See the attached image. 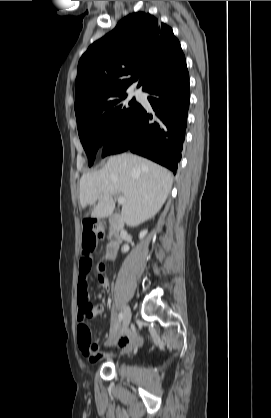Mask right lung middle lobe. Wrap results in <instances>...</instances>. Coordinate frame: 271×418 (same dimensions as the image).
I'll list each match as a JSON object with an SVG mask.
<instances>
[{"instance_id": "obj_1", "label": "right lung middle lobe", "mask_w": 271, "mask_h": 418, "mask_svg": "<svg viewBox=\"0 0 271 418\" xmlns=\"http://www.w3.org/2000/svg\"><path fill=\"white\" fill-rule=\"evenodd\" d=\"M126 97L127 94L123 93L76 116L79 137L87 153L89 166L93 164L96 152L107 137L140 109L141 105L134 98L126 101Z\"/></svg>"}]
</instances>
